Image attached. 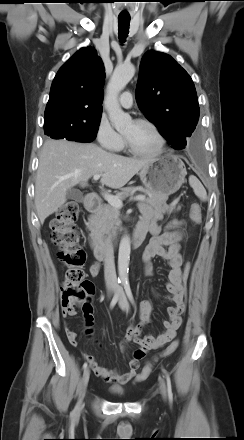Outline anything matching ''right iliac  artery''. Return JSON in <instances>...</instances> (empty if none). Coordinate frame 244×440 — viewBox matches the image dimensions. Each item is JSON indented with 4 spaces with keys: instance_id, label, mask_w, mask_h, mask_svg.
<instances>
[{
    "instance_id": "obj_1",
    "label": "right iliac artery",
    "mask_w": 244,
    "mask_h": 440,
    "mask_svg": "<svg viewBox=\"0 0 244 440\" xmlns=\"http://www.w3.org/2000/svg\"><path fill=\"white\" fill-rule=\"evenodd\" d=\"M120 289H121V284L118 286V290H117V292L115 293V295H114V297H113V299H112V301H111V303H110V308L112 309L115 305H116V303H117V301H118V298H119V291H120ZM87 362H85L84 364H83V369H86L87 368Z\"/></svg>"
}]
</instances>
